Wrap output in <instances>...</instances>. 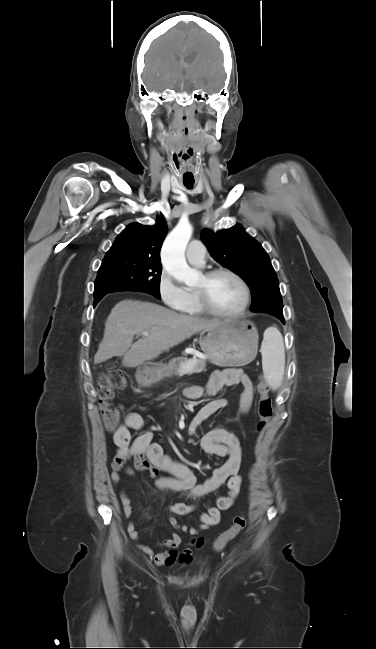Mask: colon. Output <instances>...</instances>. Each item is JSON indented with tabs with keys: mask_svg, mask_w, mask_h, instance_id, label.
<instances>
[{
	"mask_svg": "<svg viewBox=\"0 0 376 649\" xmlns=\"http://www.w3.org/2000/svg\"><path fill=\"white\" fill-rule=\"evenodd\" d=\"M127 386V381L121 372L111 370L104 372L100 375L98 380V402L105 427L112 431L114 430L120 420V410L111 404L115 390L124 389ZM257 391L259 399L257 403V411L259 421L257 423L258 432H264L270 422L272 416V404L269 397V386L267 382L261 378ZM246 520L244 516L235 517L233 524L229 529L222 533L215 542V549L222 550L230 541L236 538L244 529Z\"/></svg>",
	"mask_w": 376,
	"mask_h": 649,
	"instance_id": "1",
	"label": "colon"
}]
</instances>
